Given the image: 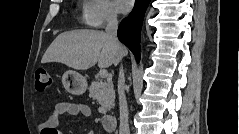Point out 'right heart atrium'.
Segmentation results:
<instances>
[{"instance_id": "right-heart-atrium-1", "label": "right heart atrium", "mask_w": 239, "mask_h": 134, "mask_svg": "<svg viewBox=\"0 0 239 134\" xmlns=\"http://www.w3.org/2000/svg\"><path fill=\"white\" fill-rule=\"evenodd\" d=\"M118 12L110 0H89L84 7V20L92 27L100 28L115 22Z\"/></svg>"}]
</instances>
